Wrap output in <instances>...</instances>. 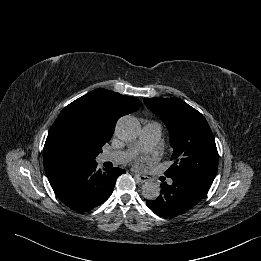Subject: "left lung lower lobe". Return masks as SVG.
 Masks as SVG:
<instances>
[{
  "instance_id": "0a47b994",
  "label": "left lung lower lobe",
  "mask_w": 261,
  "mask_h": 261,
  "mask_svg": "<svg viewBox=\"0 0 261 261\" xmlns=\"http://www.w3.org/2000/svg\"><path fill=\"white\" fill-rule=\"evenodd\" d=\"M173 183L164 182L160 196L146 201L153 212L163 217L181 215L198 204L208 193L213 180L195 174L172 176Z\"/></svg>"
}]
</instances>
